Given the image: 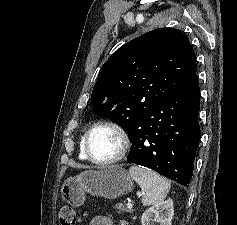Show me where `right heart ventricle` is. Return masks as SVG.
Wrapping results in <instances>:
<instances>
[{"instance_id": "1", "label": "right heart ventricle", "mask_w": 237, "mask_h": 225, "mask_svg": "<svg viewBox=\"0 0 237 225\" xmlns=\"http://www.w3.org/2000/svg\"><path fill=\"white\" fill-rule=\"evenodd\" d=\"M83 142H84V136L81 138V141H80V158L87 159L84 153V149H83Z\"/></svg>"}]
</instances>
